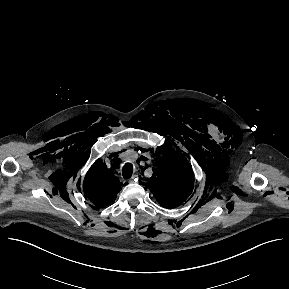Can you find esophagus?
Wrapping results in <instances>:
<instances>
[{"label": "esophagus", "mask_w": 289, "mask_h": 289, "mask_svg": "<svg viewBox=\"0 0 289 289\" xmlns=\"http://www.w3.org/2000/svg\"><path fill=\"white\" fill-rule=\"evenodd\" d=\"M133 181H138V175L137 174L132 177V180H130V182H133Z\"/></svg>", "instance_id": "1"}]
</instances>
